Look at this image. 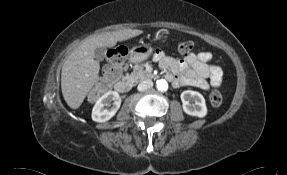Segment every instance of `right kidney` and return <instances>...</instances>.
<instances>
[{"label":"right kidney","mask_w":287,"mask_h":175,"mask_svg":"<svg viewBox=\"0 0 287 175\" xmlns=\"http://www.w3.org/2000/svg\"><path fill=\"white\" fill-rule=\"evenodd\" d=\"M113 101V103H111ZM121 98L116 91H108L102 95L95 103L92 110V120L96 122H106L110 120L118 111Z\"/></svg>","instance_id":"right-kidney-1"}]
</instances>
